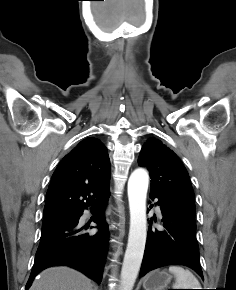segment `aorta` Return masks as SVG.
I'll use <instances>...</instances> for the list:
<instances>
[{
    "instance_id": "obj_1",
    "label": "aorta",
    "mask_w": 236,
    "mask_h": 290,
    "mask_svg": "<svg viewBox=\"0 0 236 290\" xmlns=\"http://www.w3.org/2000/svg\"><path fill=\"white\" fill-rule=\"evenodd\" d=\"M149 176L144 169L135 170L128 181L130 228L121 270V290H132L145 249L147 236L146 196Z\"/></svg>"
}]
</instances>
